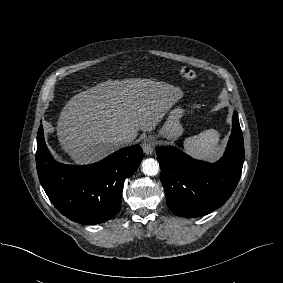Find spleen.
Segmentation results:
<instances>
[{
    "mask_svg": "<svg viewBox=\"0 0 283 283\" xmlns=\"http://www.w3.org/2000/svg\"><path fill=\"white\" fill-rule=\"evenodd\" d=\"M220 133L215 129H207L198 135L188 137L184 141V149L198 159L214 160L217 156V144Z\"/></svg>",
    "mask_w": 283,
    "mask_h": 283,
    "instance_id": "1",
    "label": "spleen"
}]
</instances>
